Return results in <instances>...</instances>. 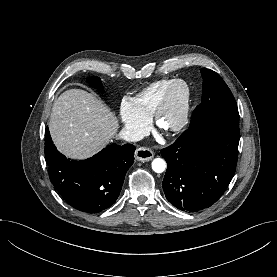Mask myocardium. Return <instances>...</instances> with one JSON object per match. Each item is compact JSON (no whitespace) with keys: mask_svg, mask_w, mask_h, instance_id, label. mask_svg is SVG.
Returning a JSON list of instances; mask_svg holds the SVG:
<instances>
[{"mask_svg":"<svg viewBox=\"0 0 277 277\" xmlns=\"http://www.w3.org/2000/svg\"><path fill=\"white\" fill-rule=\"evenodd\" d=\"M177 87H182L184 94L178 110L176 121L168 127L162 126V118L167 110L172 94ZM191 91L189 85L181 79L174 80L164 91L153 115L154 126L166 134H173L181 131L187 123L190 109Z\"/></svg>","mask_w":277,"mask_h":277,"instance_id":"myocardium-1","label":"myocardium"}]
</instances>
